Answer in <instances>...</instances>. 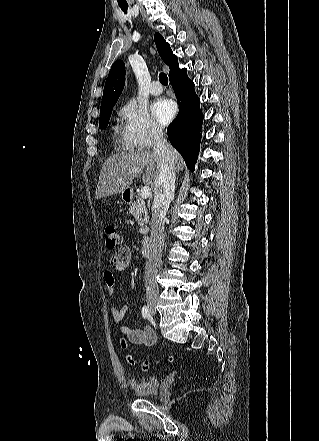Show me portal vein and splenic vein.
<instances>
[{
    "label": "portal vein and splenic vein",
    "mask_w": 319,
    "mask_h": 441,
    "mask_svg": "<svg viewBox=\"0 0 319 441\" xmlns=\"http://www.w3.org/2000/svg\"><path fill=\"white\" fill-rule=\"evenodd\" d=\"M150 194H151V189L149 186H144L141 189V193H140L141 198L147 199L150 196Z\"/></svg>",
    "instance_id": "obj_1"
}]
</instances>
